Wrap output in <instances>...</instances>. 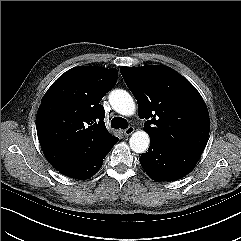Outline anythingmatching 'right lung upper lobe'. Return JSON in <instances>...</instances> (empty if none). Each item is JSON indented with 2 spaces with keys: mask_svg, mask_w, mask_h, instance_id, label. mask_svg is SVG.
<instances>
[{
  "mask_svg": "<svg viewBox=\"0 0 241 241\" xmlns=\"http://www.w3.org/2000/svg\"><path fill=\"white\" fill-rule=\"evenodd\" d=\"M118 71L79 66L61 75L48 89L37 113V133L42 150L58 171L94 158L112 146L100 104L116 84Z\"/></svg>",
  "mask_w": 241,
  "mask_h": 241,
  "instance_id": "right-lung-upper-lobe-1",
  "label": "right lung upper lobe"
}]
</instances>
